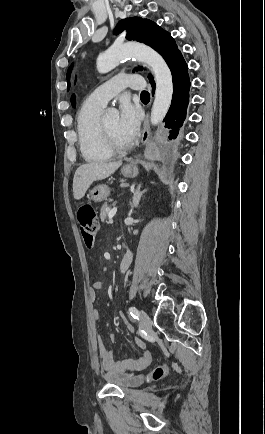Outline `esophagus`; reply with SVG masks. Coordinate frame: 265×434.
<instances>
[{
    "instance_id": "1",
    "label": "esophagus",
    "mask_w": 265,
    "mask_h": 434,
    "mask_svg": "<svg viewBox=\"0 0 265 434\" xmlns=\"http://www.w3.org/2000/svg\"><path fill=\"white\" fill-rule=\"evenodd\" d=\"M150 122H149V115H146L144 124H143V133H142V137H141V142L142 144H145L150 137Z\"/></svg>"
}]
</instances>
